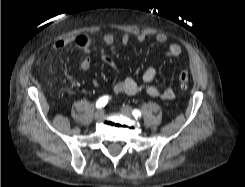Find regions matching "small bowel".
Returning <instances> with one entry per match:
<instances>
[{
  "label": "small bowel",
  "mask_w": 245,
  "mask_h": 187,
  "mask_svg": "<svg viewBox=\"0 0 245 187\" xmlns=\"http://www.w3.org/2000/svg\"><path fill=\"white\" fill-rule=\"evenodd\" d=\"M135 38L138 42L144 43L147 40V35L145 33H137ZM131 36L128 33H124L120 37V42L123 45H127L130 42ZM115 37L112 34H105L103 36L104 45H112L115 42ZM155 40L159 44H164L167 42V36L164 33H158L155 36ZM68 41L66 40H57L53 46L55 52H61L66 46ZM182 53V47L177 43H171L167 47L166 51L162 56L155 60L153 64L147 67L142 76V83H138L133 78L127 77L123 80H118V69L113 61V59L108 55L105 50H102L101 55L104 63L111 69L113 73V82H112V91L114 94H126V95H135L145 90L146 93L157 99L161 100H172L175 96L174 91L171 88H166L164 90L159 89L153 84V81L156 77V64L162 59H173L177 58ZM90 59L87 56H82L77 63L79 70L85 71L90 67Z\"/></svg>",
  "instance_id": "1"
}]
</instances>
